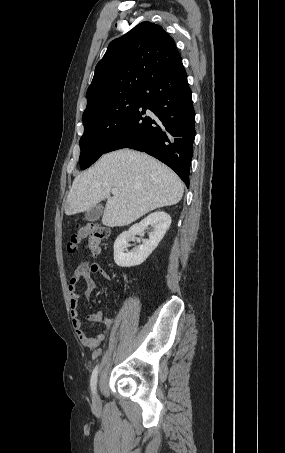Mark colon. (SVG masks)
<instances>
[{
  "instance_id": "colon-1",
  "label": "colon",
  "mask_w": 285,
  "mask_h": 453,
  "mask_svg": "<svg viewBox=\"0 0 285 453\" xmlns=\"http://www.w3.org/2000/svg\"><path fill=\"white\" fill-rule=\"evenodd\" d=\"M108 230L99 222H90L79 225L72 234L67 245L69 252H76L82 244H85L93 254H98L102 242L108 237Z\"/></svg>"
}]
</instances>
